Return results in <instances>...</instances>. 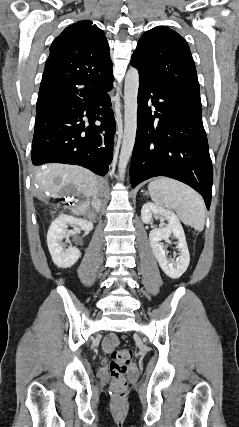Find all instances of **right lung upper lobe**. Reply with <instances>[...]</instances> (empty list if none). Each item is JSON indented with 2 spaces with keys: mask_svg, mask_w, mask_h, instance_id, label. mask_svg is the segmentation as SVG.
I'll return each instance as SVG.
<instances>
[{
  "mask_svg": "<svg viewBox=\"0 0 239 427\" xmlns=\"http://www.w3.org/2000/svg\"><path fill=\"white\" fill-rule=\"evenodd\" d=\"M112 76L109 45L91 21L67 27L52 43L38 98L68 86H93Z\"/></svg>",
  "mask_w": 239,
  "mask_h": 427,
  "instance_id": "1",
  "label": "right lung upper lobe"
}]
</instances>
